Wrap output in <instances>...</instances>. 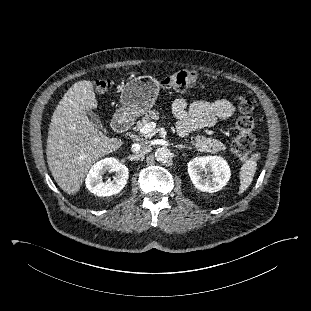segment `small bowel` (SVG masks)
I'll use <instances>...</instances> for the list:
<instances>
[{
    "mask_svg": "<svg viewBox=\"0 0 311 311\" xmlns=\"http://www.w3.org/2000/svg\"><path fill=\"white\" fill-rule=\"evenodd\" d=\"M172 111L178 119L176 126L178 133L185 136L199 129L213 127L217 119L231 117L236 109L226 99H219L214 102L197 99L188 105L186 100L179 98L174 101Z\"/></svg>",
    "mask_w": 311,
    "mask_h": 311,
    "instance_id": "c3829d8e",
    "label": "small bowel"
}]
</instances>
